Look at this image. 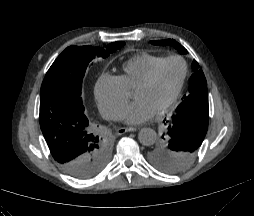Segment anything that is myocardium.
I'll list each match as a JSON object with an SVG mask.
<instances>
[{
  "label": "myocardium",
  "instance_id": "myocardium-1",
  "mask_svg": "<svg viewBox=\"0 0 254 216\" xmlns=\"http://www.w3.org/2000/svg\"><path fill=\"white\" fill-rule=\"evenodd\" d=\"M170 61H177L181 64L182 66V75L179 81V84L175 90V93L173 94L172 98L169 100L168 103H166L163 107H161L157 113L159 115L166 113L167 111H169L171 108H173V106L176 104V102L178 101L180 94L182 92L184 83L186 81L187 75H188V64L187 61L179 56V55H172V56H168L165 57L163 60H161L153 69L152 71L148 74V76L142 81L140 82L137 87L134 90H137L139 88H145L150 86L155 79L157 78L161 68L168 62Z\"/></svg>",
  "mask_w": 254,
  "mask_h": 216
}]
</instances>
